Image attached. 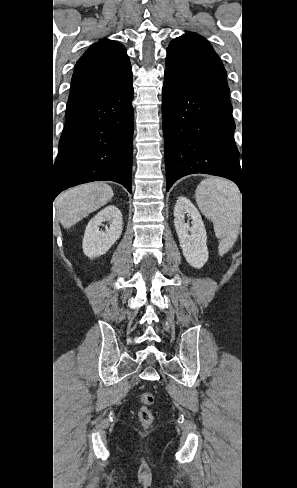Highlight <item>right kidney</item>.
<instances>
[{
    "label": "right kidney",
    "mask_w": 297,
    "mask_h": 488,
    "mask_svg": "<svg viewBox=\"0 0 297 488\" xmlns=\"http://www.w3.org/2000/svg\"><path fill=\"white\" fill-rule=\"evenodd\" d=\"M105 222H109L110 227L106 226L105 231H100L99 227ZM122 229L120 210L114 205L102 209L89 221L85 229L82 243L84 254L91 259L104 255L120 238Z\"/></svg>",
    "instance_id": "1"
}]
</instances>
